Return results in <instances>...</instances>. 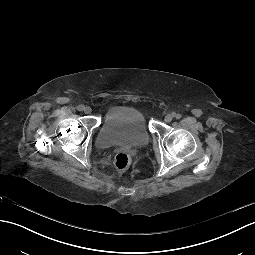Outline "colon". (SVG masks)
Instances as JSON below:
<instances>
[{"instance_id": "obj_1", "label": "colon", "mask_w": 255, "mask_h": 255, "mask_svg": "<svg viewBox=\"0 0 255 255\" xmlns=\"http://www.w3.org/2000/svg\"><path fill=\"white\" fill-rule=\"evenodd\" d=\"M130 164V157L125 152L118 153L114 158V166L119 171H124Z\"/></svg>"}]
</instances>
